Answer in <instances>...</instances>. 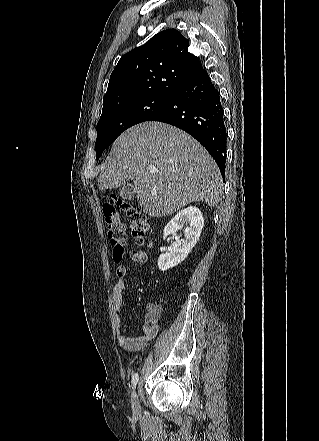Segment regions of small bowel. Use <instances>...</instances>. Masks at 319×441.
<instances>
[{"mask_svg": "<svg viewBox=\"0 0 319 441\" xmlns=\"http://www.w3.org/2000/svg\"><path fill=\"white\" fill-rule=\"evenodd\" d=\"M130 258L139 264H144L147 256L142 251H131ZM127 276V267L118 265L116 269L117 280L112 288V302L115 310V320L117 326V341L119 345L128 351H140L158 335L160 330L159 319L162 313V304L160 301L149 302L146 305L147 315L142 333L136 337L128 336L121 328L120 311L122 307L123 292L125 289V277Z\"/></svg>", "mask_w": 319, "mask_h": 441, "instance_id": "c3829d8e", "label": "small bowel"}]
</instances>
